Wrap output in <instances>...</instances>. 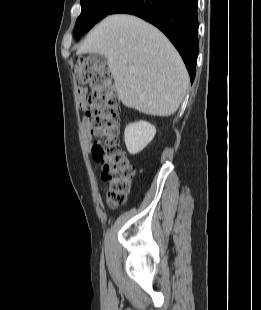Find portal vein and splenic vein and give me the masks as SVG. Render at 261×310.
<instances>
[{"label": "portal vein and splenic vein", "mask_w": 261, "mask_h": 310, "mask_svg": "<svg viewBox=\"0 0 261 310\" xmlns=\"http://www.w3.org/2000/svg\"><path fill=\"white\" fill-rule=\"evenodd\" d=\"M130 71H134V69H133V68H131V69H130Z\"/></svg>", "instance_id": "obj_1"}]
</instances>
